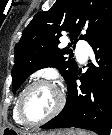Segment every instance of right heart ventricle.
<instances>
[{
	"label": "right heart ventricle",
	"mask_w": 112,
	"mask_h": 135,
	"mask_svg": "<svg viewBox=\"0 0 112 135\" xmlns=\"http://www.w3.org/2000/svg\"><path fill=\"white\" fill-rule=\"evenodd\" d=\"M18 98H19V96L16 98V100L14 101L13 106H12V111H11V113H12V119L15 122V124H17L18 126L26 127L28 125H26L25 123H23L20 120V118L18 116V113H17Z\"/></svg>",
	"instance_id": "1"
}]
</instances>
